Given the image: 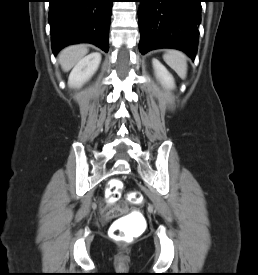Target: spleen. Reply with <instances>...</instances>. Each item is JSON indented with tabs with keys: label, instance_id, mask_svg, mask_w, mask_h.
Masks as SVG:
<instances>
[{
	"label": "spleen",
	"instance_id": "spleen-1",
	"mask_svg": "<svg viewBox=\"0 0 258 275\" xmlns=\"http://www.w3.org/2000/svg\"><path fill=\"white\" fill-rule=\"evenodd\" d=\"M165 62L178 74L182 79L187 74L186 55L178 50H169L163 56Z\"/></svg>",
	"mask_w": 258,
	"mask_h": 275
}]
</instances>
